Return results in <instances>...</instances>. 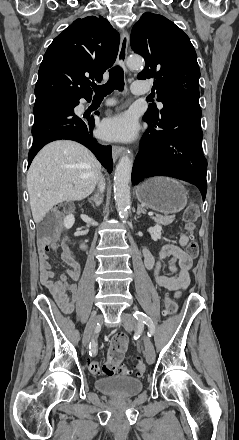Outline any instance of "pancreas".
<instances>
[{
    "label": "pancreas",
    "instance_id": "obj_1",
    "mask_svg": "<svg viewBox=\"0 0 239 440\" xmlns=\"http://www.w3.org/2000/svg\"><path fill=\"white\" fill-rule=\"evenodd\" d=\"M152 220H154L156 224H160V226H168V224L174 222L175 216H152Z\"/></svg>",
    "mask_w": 239,
    "mask_h": 440
}]
</instances>
